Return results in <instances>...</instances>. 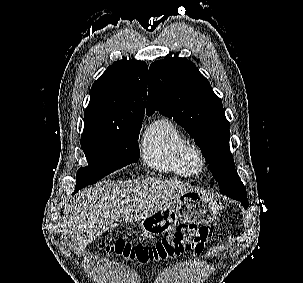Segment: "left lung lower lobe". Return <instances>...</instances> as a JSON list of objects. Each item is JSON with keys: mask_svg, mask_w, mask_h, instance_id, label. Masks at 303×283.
<instances>
[{"mask_svg": "<svg viewBox=\"0 0 303 283\" xmlns=\"http://www.w3.org/2000/svg\"><path fill=\"white\" fill-rule=\"evenodd\" d=\"M221 194H224L232 199L240 201L242 203V205L244 206V208L248 207L247 197L239 192L225 191V192H221Z\"/></svg>", "mask_w": 303, "mask_h": 283, "instance_id": "1", "label": "left lung lower lobe"}]
</instances>
